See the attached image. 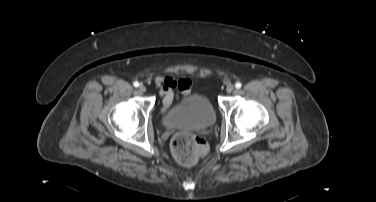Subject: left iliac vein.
I'll return each instance as SVG.
<instances>
[{"mask_svg": "<svg viewBox=\"0 0 376 202\" xmlns=\"http://www.w3.org/2000/svg\"><path fill=\"white\" fill-rule=\"evenodd\" d=\"M234 89H235L234 85H231V84H230V85L227 86L226 91H227L228 93H231V92L234 91Z\"/></svg>", "mask_w": 376, "mask_h": 202, "instance_id": "obj_1", "label": "left iliac vein"}]
</instances>
